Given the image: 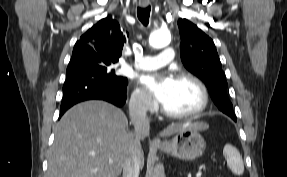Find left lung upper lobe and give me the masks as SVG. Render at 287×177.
<instances>
[{
	"instance_id": "left-lung-upper-lobe-1",
	"label": "left lung upper lobe",
	"mask_w": 287,
	"mask_h": 177,
	"mask_svg": "<svg viewBox=\"0 0 287 177\" xmlns=\"http://www.w3.org/2000/svg\"><path fill=\"white\" fill-rule=\"evenodd\" d=\"M181 59L191 73L201 79L219 110L235 117L227 95V81L213 40L187 19H179Z\"/></svg>"
}]
</instances>
